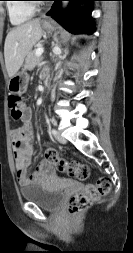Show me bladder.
Wrapping results in <instances>:
<instances>
[{"label":"bladder","mask_w":133,"mask_h":253,"mask_svg":"<svg viewBox=\"0 0 133 253\" xmlns=\"http://www.w3.org/2000/svg\"><path fill=\"white\" fill-rule=\"evenodd\" d=\"M23 200L35 203L47 211H54L61 205L64 194L62 191L52 189L42 184H30L20 188Z\"/></svg>","instance_id":"31cf9c89"}]
</instances>
